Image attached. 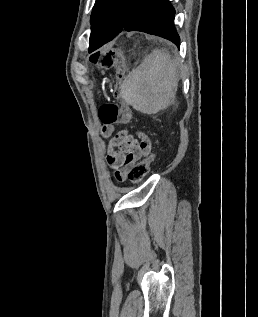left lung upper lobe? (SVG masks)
<instances>
[{
	"label": "left lung upper lobe",
	"instance_id": "5c2ea615",
	"mask_svg": "<svg viewBox=\"0 0 258 317\" xmlns=\"http://www.w3.org/2000/svg\"><path fill=\"white\" fill-rule=\"evenodd\" d=\"M131 0H96L91 14V30L97 27L119 28L123 25Z\"/></svg>",
	"mask_w": 258,
	"mask_h": 317
}]
</instances>
